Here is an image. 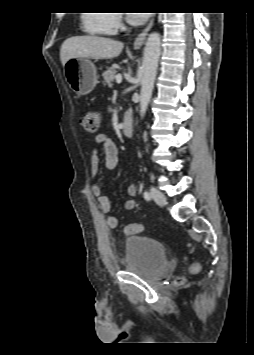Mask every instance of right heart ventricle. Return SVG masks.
I'll use <instances>...</instances> for the list:
<instances>
[{"label":"right heart ventricle","mask_w":254,"mask_h":355,"mask_svg":"<svg viewBox=\"0 0 254 355\" xmlns=\"http://www.w3.org/2000/svg\"><path fill=\"white\" fill-rule=\"evenodd\" d=\"M108 14L102 12H91L83 16V28L90 35L107 36L114 32L111 30L108 21Z\"/></svg>","instance_id":"e07e8e85"}]
</instances>
